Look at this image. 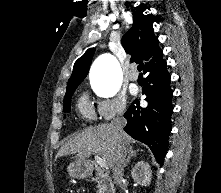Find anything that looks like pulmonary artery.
<instances>
[{"instance_id":"1","label":"pulmonary artery","mask_w":221,"mask_h":193,"mask_svg":"<svg viewBox=\"0 0 221 193\" xmlns=\"http://www.w3.org/2000/svg\"><path fill=\"white\" fill-rule=\"evenodd\" d=\"M128 79H129L130 81H133V82L137 81V79H138V73H137L135 70L130 71V72L128 73Z\"/></svg>"}]
</instances>
